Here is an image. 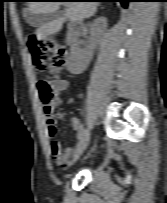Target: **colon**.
<instances>
[{"label":"colon","mask_w":167,"mask_h":203,"mask_svg":"<svg viewBox=\"0 0 167 203\" xmlns=\"http://www.w3.org/2000/svg\"><path fill=\"white\" fill-rule=\"evenodd\" d=\"M29 50L35 68L39 71L61 72L67 64L66 50L54 40L40 41L32 37L29 43ZM37 90L43 109L47 115H52L51 104L56 101V93L50 82L40 79L37 82Z\"/></svg>","instance_id":"1"}]
</instances>
